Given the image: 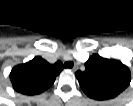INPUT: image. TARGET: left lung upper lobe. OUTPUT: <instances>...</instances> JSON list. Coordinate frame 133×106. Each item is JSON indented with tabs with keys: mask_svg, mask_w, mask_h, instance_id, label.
I'll list each match as a JSON object with an SVG mask.
<instances>
[{
	"mask_svg": "<svg viewBox=\"0 0 133 106\" xmlns=\"http://www.w3.org/2000/svg\"><path fill=\"white\" fill-rule=\"evenodd\" d=\"M85 67V71H77L75 76L84 93L92 99L114 98L130 84V70L118 60L93 54Z\"/></svg>",
	"mask_w": 133,
	"mask_h": 106,
	"instance_id": "left-lung-upper-lobe-1",
	"label": "left lung upper lobe"
}]
</instances>
